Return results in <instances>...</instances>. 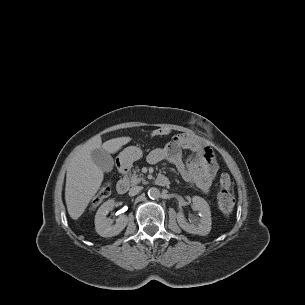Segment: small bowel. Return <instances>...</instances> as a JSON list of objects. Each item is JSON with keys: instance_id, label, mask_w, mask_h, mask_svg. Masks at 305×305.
Listing matches in <instances>:
<instances>
[{"instance_id": "c3829d8e", "label": "small bowel", "mask_w": 305, "mask_h": 305, "mask_svg": "<svg viewBox=\"0 0 305 305\" xmlns=\"http://www.w3.org/2000/svg\"><path fill=\"white\" fill-rule=\"evenodd\" d=\"M191 155L183 158V150ZM151 164L167 161L174 165L183 179L208 193L218 170V162L211 147L196 135L178 133L163 147L152 150L148 155Z\"/></svg>"}]
</instances>
